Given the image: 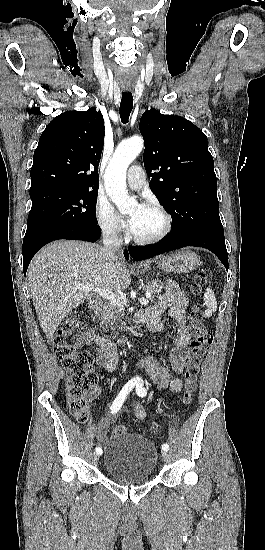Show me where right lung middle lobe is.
Instances as JSON below:
<instances>
[{"label":"right lung middle lobe","mask_w":265,"mask_h":550,"mask_svg":"<svg viewBox=\"0 0 265 550\" xmlns=\"http://www.w3.org/2000/svg\"><path fill=\"white\" fill-rule=\"evenodd\" d=\"M97 192L55 187L30 190L32 207L24 240L66 225L97 226Z\"/></svg>","instance_id":"1"}]
</instances>
